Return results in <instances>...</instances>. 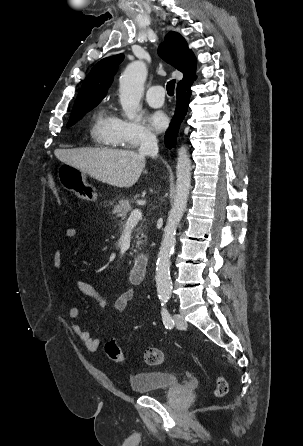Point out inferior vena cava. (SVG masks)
<instances>
[{
	"instance_id": "inferior-vena-cava-1",
	"label": "inferior vena cava",
	"mask_w": 303,
	"mask_h": 446,
	"mask_svg": "<svg viewBox=\"0 0 303 446\" xmlns=\"http://www.w3.org/2000/svg\"><path fill=\"white\" fill-rule=\"evenodd\" d=\"M140 155H149L156 157L158 154L157 138L153 134H146L139 148Z\"/></svg>"
}]
</instances>
